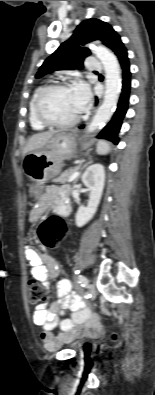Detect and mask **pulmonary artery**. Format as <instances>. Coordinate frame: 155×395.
<instances>
[{"label": "pulmonary artery", "instance_id": "1", "mask_svg": "<svg viewBox=\"0 0 155 395\" xmlns=\"http://www.w3.org/2000/svg\"><path fill=\"white\" fill-rule=\"evenodd\" d=\"M86 66L89 70H100L102 68L101 62L95 57H89L86 61Z\"/></svg>", "mask_w": 155, "mask_h": 395}]
</instances>
